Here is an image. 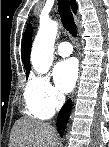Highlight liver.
Listing matches in <instances>:
<instances>
[{"label":"liver","instance_id":"obj_1","mask_svg":"<svg viewBox=\"0 0 109 147\" xmlns=\"http://www.w3.org/2000/svg\"><path fill=\"white\" fill-rule=\"evenodd\" d=\"M57 140V131L50 124L22 117L12 128L9 147H56Z\"/></svg>","mask_w":109,"mask_h":147}]
</instances>
